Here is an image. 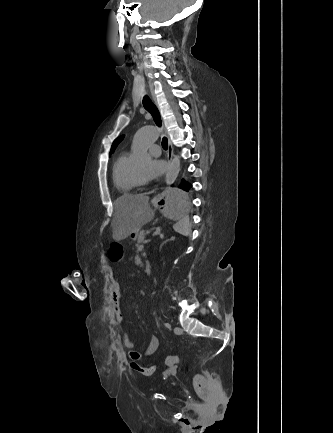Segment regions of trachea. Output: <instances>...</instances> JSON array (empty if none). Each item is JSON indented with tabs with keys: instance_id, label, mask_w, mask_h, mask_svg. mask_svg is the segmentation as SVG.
<instances>
[{
	"instance_id": "1",
	"label": "trachea",
	"mask_w": 333,
	"mask_h": 433,
	"mask_svg": "<svg viewBox=\"0 0 333 433\" xmlns=\"http://www.w3.org/2000/svg\"><path fill=\"white\" fill-rule=\"evenodd\" d=\"M143 106L152 115L156 125L158 127H161L162 121H161L159 110L157 109L156 105L151 101V99L148 96L143 97ZM162 147L164 150H167L168 140L166 137H163L162 139Z\"/></svg>"
}]
</instances>
